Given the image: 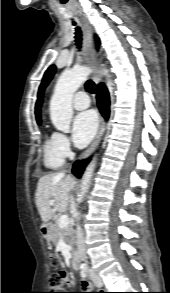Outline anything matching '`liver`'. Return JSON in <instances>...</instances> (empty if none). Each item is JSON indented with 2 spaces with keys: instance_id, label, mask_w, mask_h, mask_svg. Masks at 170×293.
Instances as JSON below:
<instances>
[{
  "instance_id": "1",
  "label": "liver",
  "mask_w": 170,
  "mask_h": 293,
  "mask_svg": "<svg viewBox=\"0 0 170 293\" xmlns=\"http://www.w3.org/2000/svg\"><path fill=\"white\" fill-rule=\"evenodd\" d=\"M75 184V179L64 172L48 174L39 179L35 199L43 222L41 228H47L56 212H65L69 204L71 205L70 192ZM50 200L55 201L53 205L49 204Z\"/></svg>"
}]
</instances>
